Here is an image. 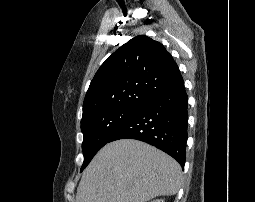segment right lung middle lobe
<instances>
[{"label":"right lung middle lobe","instance_id":"right-lung-middle-lobe-1","mask_svg":"<svg viewBox=\"0 0 255 202\" xmlns=\"http://www.w3.org/2000/svg\"><path fill=\"white\" fill-rule=\"evenodd\" d=\"M139 106L106 108L82 117L84 162L81 171L111 137L139 110Z\"/></svg>","mask_w":255,"mask_h":202}]
</instances>
